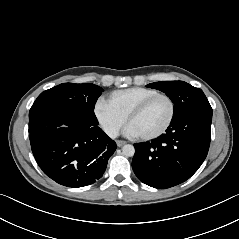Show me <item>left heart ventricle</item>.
<instances>
[{"instance_id":"obj_1","label":"left heart ventricle","mask_w":239,"mask_h":239,"mask_svg":"<svg viewBox=\"0 0 239 239\" xmlns=\"http://www.w3.org/2000/svg\"><path fill=\"white\" fill-rule=\"evenodd\" d=\"M171 107L167 99L154 100L143 112L135 116L129 125L138 136L148 135L160 130L168 121Z\"/></svg>"}]
</instances>
